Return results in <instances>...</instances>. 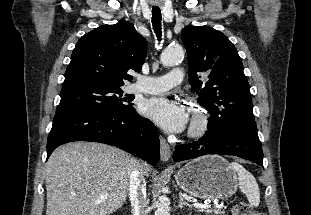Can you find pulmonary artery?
I'll list each match as a JSON object with an SVG mask.
<instances>
[{"instance_id":"obj_1","label":"pulmonary artery","mask_w":311,"mask_h":215,"mask_svg":"<svg viewBox=\"0 0 311 215\" xmlns=\"http://www.w3.org/2000/svg\"><path fill=\"white\" fill-rule=\"evenodd\" d=\"M182 80V70L174 68L164 76L139 78L137 83L132 86V90L145 94H158L179 85Z\"/></svg>"}]
</instances>
